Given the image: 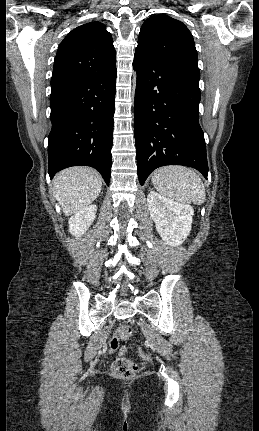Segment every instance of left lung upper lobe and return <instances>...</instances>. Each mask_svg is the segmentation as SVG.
<instances>
[{
  "instance_id": "left-lung-upper-lobe-1",
  "label": "left lung upper lobe",
  "mask_w": 259,
  "mask_h": 431,
  "mask_svg": "<svg viewBox=\"0 0 259 431\" xmlns=\"http://www.w3.org/2000/svg\"><path fill=\"white\" fill-rule=\"evenodd\" d=\"M137 48L200 77L193 36L182 22L172 17L157 15L145 20Z\"/></svg>"
}]
</instances>
